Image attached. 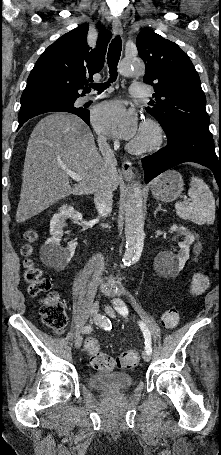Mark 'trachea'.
Here are the masks:
<instances>
[{"label":"trachea","instance_id":"1","mask_svg":"<svg viewBox=\"0 0 221 455\" xmlns=\"http://www.w3.org/2000/svg\"><path fill=\"white\" fill-rule=\"evenodd\" d=\"M121 50H122V40L120 36H116L108 50V55H107V61H108V66H109V74L110 78L107 82L105 83H100V84H90V87L93 88L94 90L98 92L104 91L106 88L110 86V83L114 82L117 79V65L121 56Z\"/></svg>","mask_w":221,"mask_h":455}]
</instances>
